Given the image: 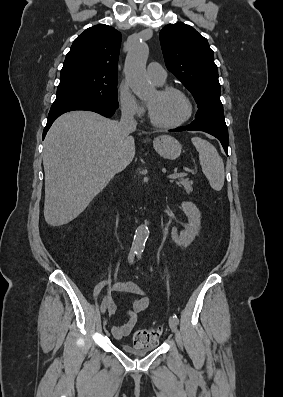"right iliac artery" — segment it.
Segmentation results:
<instances>
[{
    "label": "right iliac artery",
    "mask_w": 283,
    "mask_h": 397,
    "mask_svg": "<svg viewBox=\"0 0 283 397\" xmlns=\"http://www.w3.org/2000/svg\"><path fill=\"white\" fill-rule=\"evenodd\" d=\"M135 254H137L136 251H133V250L130 251L129 256H128L129 263H132V262H133V259H134V257H135ZM105 283H110V281H107V282H105ZM105 283H100V284L97 285V287L95 288V294H98V293L101 292V289L103 288V286L105 285ZM93 302H94V303H97V302H98L97 295H94Z\"/></svg>",
    "instance_id": "obj_1"
}]
</instances>
